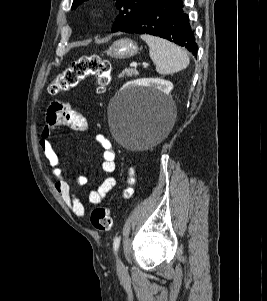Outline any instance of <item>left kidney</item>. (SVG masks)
Masks as SVG:
<instances>
[{"mask_svg": "<svg viewBox=\"0 0 267 301\" xmlns=\"http://www.w3.org/2000/svg\"><path fill=\"white\" fill-rule=\"evenodd\" d=\"M133 86L140 87H154L158 91L169 94L173 89V84L170 81H166L164 79H141L134 82H129L123 86V90Z\"/></svg>", "mask_w": 267, "mask_h": 301, "instance_id": "left-kidney-1", "label": "left kidney"}]
</instances>
